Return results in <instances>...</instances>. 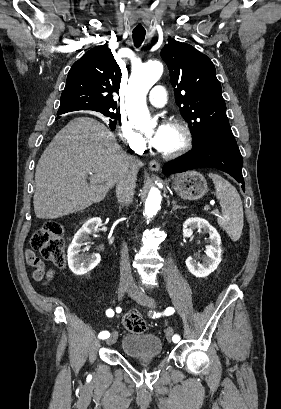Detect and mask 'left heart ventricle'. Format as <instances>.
<instances>
[{
	"mask_svg": "<svg viewBox=\"0 0 281 409\" xmlns=\"http://www.w3.org/2000/svg\"><path fill=\"white\" fill-rule=\"evenodd\" d=\"M153 130L154 129H151L148 135ZM182 140H183V136L180 130L166 126L163 142L158 149L163 152L172 151L176 149L182 143Z\"/></svg>",
	"mask_w": 281,
	"mask_h": 409,
	"instance_id": "obj_1",
	"label": "left heart ventricle"
}]
</instances>
